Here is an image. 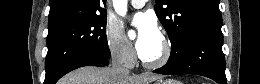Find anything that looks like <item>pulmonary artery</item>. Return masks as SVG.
I'll use <instances>...</instances> for the list:
<instances>
[{"label": "pulmonary artery", "mask_w": 260, "mask_h": 84, "mask_svg": "<svg viewBox=\"0 0 260 84\" xmlns=\"http://www.w3.org/2000/svg\"><path fill=\"white\" fill-rule=\"evenodd\" d=\"M133 7L135 8H140L144 5L145 1L144 0H132L130 1Z\"/></svg>", "instance_id": "pulmonary-artery-1"}]
</instances>
